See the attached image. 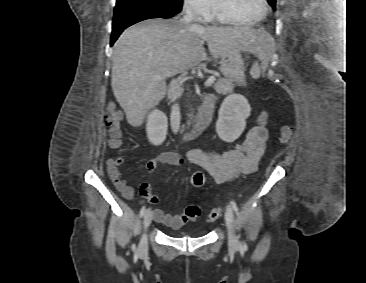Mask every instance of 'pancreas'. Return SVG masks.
Returning <instances> with one entry per match:
<instances>
[{"instance_id":"cf45deb5","label":"pancreas","mask_w":366,"mask_h":283,"mask_svg":"<svg viewBox=\"0 0 366 283\" xmlns=\"http://www.w3.org/2000/svg\"><path fill=\"white\" fill-rule=\"evenodd\" d=\"M234 84L232 83L231 80L229 79H225V78H220L215 84H214V89L217 93L220 94H227V93H231L234 89Z\"/></svg>"}]
</instances>
